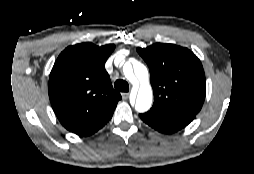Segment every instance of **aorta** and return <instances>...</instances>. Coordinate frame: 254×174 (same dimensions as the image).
I'll use <instances>...</instances> for the list:
<instances>
[{"label": "aorta", "instance_id": "1", "mask_svg": "<svg viewBox=\"0 0 254 174\" xmlns=\"http://www.w3.org/2000/svg\"><path fill=\"white\" fill-rule=\"evenodd\" d=\"M123 73L129 81L138 80L140 82L135 109L140 113L148 111L152 105L153 92L146 66L138 61H135L133 66L127 62L123 66Z\"/></svg>", "mask_w": 254, "mask_h": 174}]
</instances>
